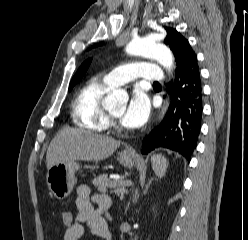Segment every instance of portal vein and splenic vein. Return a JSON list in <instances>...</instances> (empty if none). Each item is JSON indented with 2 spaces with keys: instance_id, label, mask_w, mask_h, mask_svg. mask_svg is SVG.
<instances>
[{
  "instance_id": "portal-vein-and-splenic-vein-1",
  "label": "portal vein and splenic vein",
  "mask_w": 248,
  "mask_h": 240,
  "mask_svg": "<svg viewBox=\"0 0 248 240\" xmlns=\"http://www.w3.org/2000/svg\"><path fill=\"white\" fill-rule=\"evenodd\" d=\"M123 183H124L125 185H127V186L132 185V182H131V181H123Z\"/></svg>"
}]
</instances>
